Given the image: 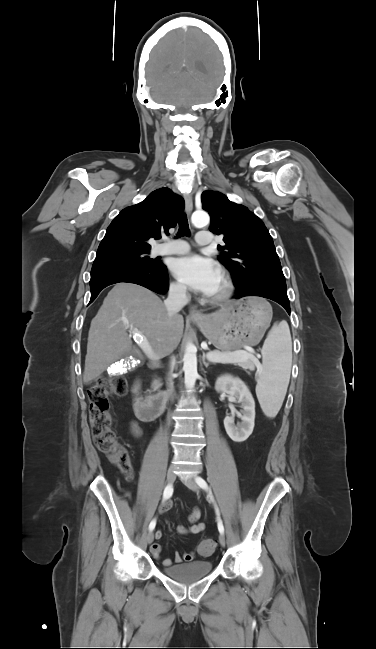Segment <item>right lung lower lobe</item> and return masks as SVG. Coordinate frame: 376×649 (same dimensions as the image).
Here are the masks:
<instances>
[{
  "label": "right lung lower lobe",
  "instance_id": "98d812e1",
  "mask_svg": "<svg viewBox=\"0 0 376 649\" xmlns=\"http://www.w3.org/2000/svg\"><path fill=\"white\" fill-rule=\"evenodd\" d=\"M119 282L135 283L158 294L165 293L169 287L167 268L161 261L154 266L115 263L91 270L89 303L95 300L102 289Z\"/></svg>",
  "mask_w": 376,
  "mask_h": 649
}]
</instances>
